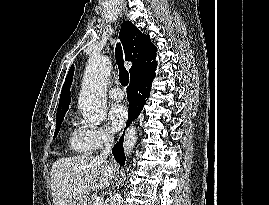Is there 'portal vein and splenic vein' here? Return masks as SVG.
<instances>
[{
	"label": "portal vein and splenic vein",
	"mask_w": 269,
	"mask_h": 205,
	"mask_svg": "<svg viewBox=\"0 0 269 205\" xmlns=\"http://www.w3.org/2000/svg\"><path fill=\"white\" fill-rule=\"evenodd\" d=\"M93 205H103V198L102 197H95Z\"/></svg>",
	"instance_id": "1"
}]
</instances>
